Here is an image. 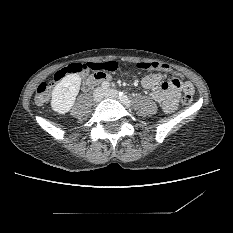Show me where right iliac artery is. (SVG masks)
Listing matches in <instances>:
<instances>
[{"label":"right iliac artery","mask_w":233,"mask_h":233,"mask_svg":"<svg viewBox=\"0 0 233 233\" xmlns=\"http://www.w3.org/2000/svg\"><path fill=\"white\" fill-rule=\"evenodd\" d=\"M108 87H109V83L108 82L102 83V88L107 89Z\"/></svg>","instance_id":"obj_1"}]
</instances>
